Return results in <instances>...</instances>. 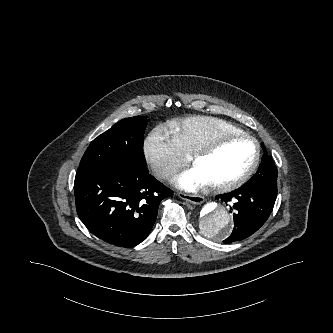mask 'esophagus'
I'll return each instance as SVG.
<instances>
[{
    "instance_id": "obj_1",
    "label": "esophagus",
    "mask_w": 333,
    "mask_h": 333,
    "mask_svg": "<svg viewBox=\"0 0 333 333\" xmlns=\"http://www.w3.org/2000/svg\"><path fill=\"white\" fill-rule=\"evenodd\" d=\"M178 196L183 200L189 201V202H191L193 204H197V205L203 203V201H204L203 197H201L199 195H191V194H185V193L179 192Z\"/></svg>"
}]
</instances>
